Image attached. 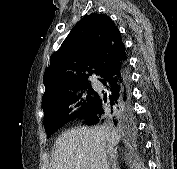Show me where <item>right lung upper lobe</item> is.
Returning a JSON list of instances; mask_svg holds the SVG:
<instances>
[{"label": "right lung upper lobe", "instance_id": "obj_1", "mask_svg": "<svg viewBox=\"0 0 177 169\" xmlns=\"http://www.w3.org/2000/svg\"><path fill=\"white\" fill-rule=\"evenodd\" d=\"M126 57L121 34L104 14L84 16L71 30L45 70L42 106L58 101L76 87L90 83L106 67Z\"/></svg>", "mask_w": 177, "mask_h": 169}]
</instances>
